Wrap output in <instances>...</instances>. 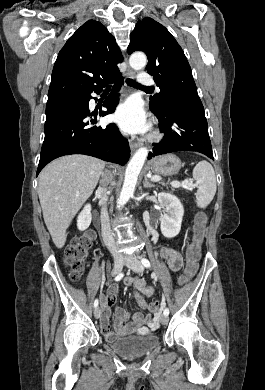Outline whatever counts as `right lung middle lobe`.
Instances as JSON below:
<instances>
[{
	"label": "right lung middle lobe",
	"instance_id": "right-lung-middle-lobe-1",
	"mask_svg": "<svg viewBox=\"0 0 265 390\" xmlns=\"http://www.w3.org/2000/svg\"><path fill=\"white\" fill-rule=\"evenodd\" d=\"M86 95V94H84ZM84 95H76V96H71V97H67V98H63V99H73V98H81L83 97ZM61 100V99H60Z\"/></svg>",
	"mask_w": 265,
	"mask_h": 390
}]
</instances>
